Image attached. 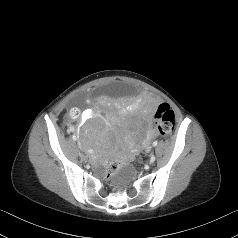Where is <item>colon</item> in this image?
I'll return each mask as SVG.
<instances>
[{
  "instance_id": "obj_1",
  "label": "colon",
  "mask_w": 238,
  "mask_h": 238,
  "mask_svg": "<svg viewBox=\"0 0 238 238\" xmlns=\"http://www.w3.org/2000/svg\"><path fill=\"white\" fill-rule=\"evenodd\" d=\"M78 115V110H73L71 112L72 117H77ZM155 120L158 131L161 135H166L173 131L175 124V115L166 103H162L157 107V110L155 112ZM124 164L125 163L121 160L110 161L106 165L101 181L104 184H107L110 181V178L113 176V173L120 169Z\"/></svg>"
}]
</instances>
